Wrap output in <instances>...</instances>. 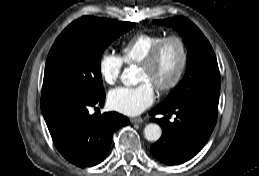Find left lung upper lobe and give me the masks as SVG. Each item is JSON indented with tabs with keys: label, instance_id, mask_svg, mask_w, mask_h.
I'll use <instances>...</instances> for the list:
<instances>
[{
	"label": "left lung upper lobe",
	"instance_id": "5c2ea615",
	"mask_svg": "<svg viewBox=\"0 0 259 176\" xmlns=\"http://www.w3.org/2000/svg\"><path fill=\"white\" fill-rule=\"evenodd\" d=\"M154 23L173 27L188 48L186 73L160 105L171 107L193 99L218 104L220 72L214 51L203 33L185 17L155 20Z\"/></svg>",
	"mask_w": 259,
	"mask_h": 176
}]
</instances>
